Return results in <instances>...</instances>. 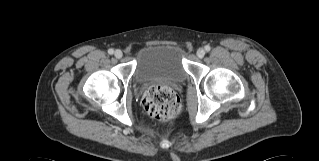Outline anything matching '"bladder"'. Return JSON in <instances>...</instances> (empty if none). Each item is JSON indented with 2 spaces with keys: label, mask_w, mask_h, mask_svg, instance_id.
Listing matches in <instances>:
<instances>
[{
  "label": "bladder",
  "mask_w": 319,
  "mask_h": 161,
  "mask_svg": "<svg viewBox=\"0 0 319 161\" xmlns=\"http://www.w3.org/2000/svg\"><path fill=\"white\" fill-rule=\"evenodd\" d=\"M135 64V76L140 83L182 82L187 75L184 50L178 44L146 45L137 52Z\"/></svg>",
  "instance_id": "1"
}]
</instances>
